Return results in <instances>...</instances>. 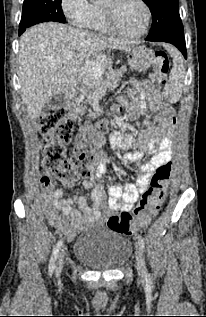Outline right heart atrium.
Wrapping results in <instances>:
<instances>
[{"mask_svg":"<svg viewBox=\"0 0 206 317\" xmlns=\"http://www.w3.org/2000/svg\"><path fill=\"white\" fill-rule=\"evenodd\" d=\"M60 4L70 24L80 28L87 26L92 11L88 0H61Z\"/></svg>","mask_w":206,"mask_h":317,"instance_id":"1","label":"right heart atrium"}]
</instances>
